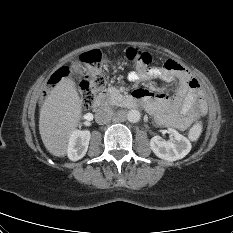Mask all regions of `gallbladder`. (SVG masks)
Here are the masks:
<instances>
[{"instance_id":"obj_1","label":"gallbladder","mask_w":233,"mask_h":233,"mask_svg":"<svg viewBox=\"0 0 233 233\" xmlns=\"http://www.w3.org/2000/svg\"><path fill=\"white\" fill-rule=\"evenodd\" d=\"M73 71L78 75L83 74V70H82L81 66L79 65V63H76L75 65H73Z\"/></svg>"}]
</instances>
